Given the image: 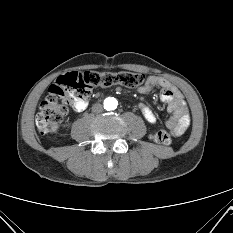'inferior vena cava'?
Segmentation results:
<instances>
[{"mask_svg": "<svg viewBox=\"0 0 233 233\" xmlns=\"http://www.w3.org/2000/svg\"><path fill=\"white\" fill-rule=\"evenodd\" d=\"M92 111L94 113H101L103 111V106L100 104V103H95L93 106H92Z\"/></svg>", "mask_w": 233, "mask_h": 233, "instance_id": "inferior-vena-cava-1", "label": "inferior vena cava"}]
</instances>
